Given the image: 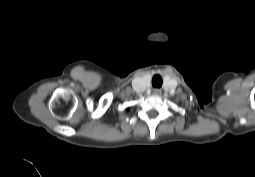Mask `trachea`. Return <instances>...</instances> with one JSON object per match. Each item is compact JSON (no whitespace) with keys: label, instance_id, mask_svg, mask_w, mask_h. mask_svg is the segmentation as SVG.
<instances>
[{"label":"trachea","instance_id":"1","mask_svg":"<svg viewBox=\"0 0 255 177\" xmlns=\"http://www.w3.org/2000/svg\"><path fill=\"white\" fill-rule=\"evenodd\" d=\"M162 85V78L159 75H155L152 79V86L155 88H160Z\"/></svg>","mask_w":255,"mask_h":177}]
</instances>
